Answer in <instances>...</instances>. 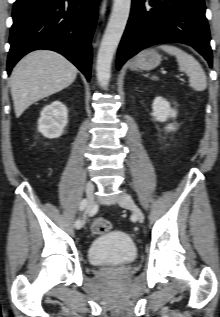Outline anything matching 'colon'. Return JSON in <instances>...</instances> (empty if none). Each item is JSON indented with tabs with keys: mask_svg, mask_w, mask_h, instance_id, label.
Here are the masks:
<instances>
[{
	"mask_svg": "<svg viewBox=\"0 0 220 317\" xmlns=\"http://www.w3.org/2000/svg\"><path fill=\"white\" fill-rule=\"evenodd\" d=\"M110 229V223L107 219L98 217L91 222V230L95 234H102Z\"/></svg>",
	"mask_w": 220,
	"mask_h": 317,
	"instance_id": "obj_1",
	"label": "colon"
}]
</instances>
